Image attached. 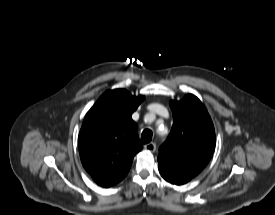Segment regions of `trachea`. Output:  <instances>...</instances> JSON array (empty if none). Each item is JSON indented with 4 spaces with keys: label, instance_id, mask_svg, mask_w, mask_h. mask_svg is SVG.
Segmentation results:
<instances>
[{
    "label": "trachea",
    "instance_id": "3493384b",
    "mask_svg": "<svg viewBox=\"0 0 275 215\" xmlns=\"http://www.w3.org/2000/svg\"><path fill=\"white\" fill-rule=\"evenodd\" d=\"M152 140V131L149 129H146L142 132L141 135V142L143 144H147Z\"/></svg>",
    "mask_w": 275,
    "mask_h": 215
}]
</instances>
